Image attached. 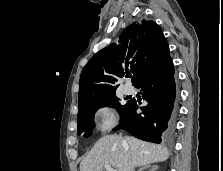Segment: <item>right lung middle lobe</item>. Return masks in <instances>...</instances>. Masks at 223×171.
Wrapping results in <instances>:
<instances>
[{"instance_id":"dd1d6c3e","label":"right lung middle lobe","mask_w":223,"mask_h":171,"mask_svg":"<svg viewBox=\"0 0 223 171\" xmlns=\"http://www.w3.org/2000/svg\"><path fill=\"white\" fill-rule=\"evenodd\" d=\"M131 100L127 101L126 104H121L120 100L115 94L109 95L102 99H99L93 103L85 105L78 110V135H83L84 137H89L92 134V130L95 127L94 123V113L101 107H113L118 110L121 118L127 112Z\"/></svg>"}]
</instances>
